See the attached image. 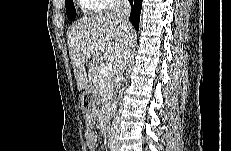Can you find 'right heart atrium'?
<instances>
[{"instance_id": "d8ad5b80", "label": "right heart atrium", "mask_w": 231, "mask_h": 151, "mask_svg": "<svg viewBox=\"0 0 231 151\" xmlns=\"http://www.w3.org/2000/svg\"><path fill=\"white\" fill-rule=\"evenodd\" d=\"M85 2L96 4L99 10L114 9L122 3L121 0H86Z\"/></svg>"}]
</instances>
